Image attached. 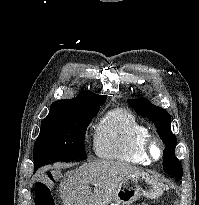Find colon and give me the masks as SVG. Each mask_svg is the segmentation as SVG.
Instances as JSON below:
<instances>
[{
  "label": "colon",
  "instance_id": "1",
  "mask_svg": "<svg viewBox=\"0 0 199 205\" xmlns=\"http://www.w3.org/2000/svg\"><path fill=\"white\" fill-rule=\"evenodd\" d=\"M49 179H52V176H49ZM35 202L36 205H55L49 186L41 182L36 184Z\"/></svg>",
  "mask_w": 199,
  "mask_h": 205
}]
</instances>
